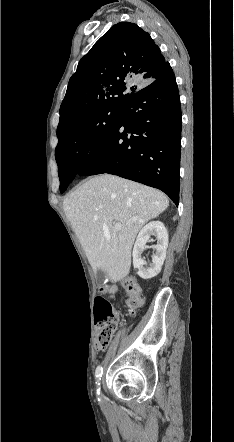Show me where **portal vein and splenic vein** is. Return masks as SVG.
Listing matches in <instances>:
<instances>
[{
    "instance_id": "portal-vein-and-splenic-vein-1",
    "label": "portal vein and splenic vein",
    "mask_w": 234,
    "mask_h": 442,
    "mask_svg": "<svg viewBox=\"0 0 234 442\" xmlns=\"http://www.w3.org/2000/svg\"><path fill=\"white\" fill-rule=\"evenodd\" d=\"M114 226H115L116 229H121V228H122V224H121V223H118V222H116V223L114 224Z\"/></svg>"
}]
</instances>
